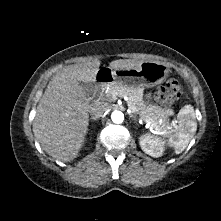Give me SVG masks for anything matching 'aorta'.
<instances>
[{"instance_id":"aorta-1","label":"aorta","mask_w":221,"mask_h":221,"mask_svg":"<svg viewBox=\"0 0 221 221\" xmlns=\"http://www.w3.org/2000/svg\"><path fill=\"white\" fill-rule=\"evenodd\" d=\"M111 119L114 123L120 124L124 121V114L121 111L115 110L111 113Z\"/></svg>"}]
</instances>
